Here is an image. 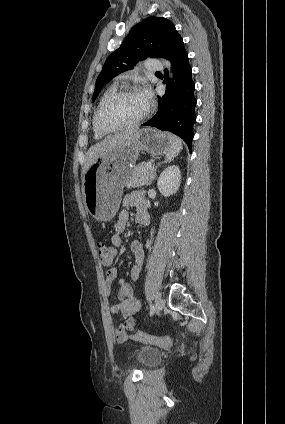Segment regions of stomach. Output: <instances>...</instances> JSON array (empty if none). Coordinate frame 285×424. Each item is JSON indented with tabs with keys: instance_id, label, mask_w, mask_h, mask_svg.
I'll return each instance as SVG.
<instances>
[{
	"instance_id": "0dacf381",
	"label": "stomach",
	"mask_w": 285,
	"mask_h": 424,
	"mask_svg": "<svg viewBox=\"0 0 285 424\" xmlns=\"http://www.w3.org/2000/svg\"><path fill=\"white\" fill-rule=\"evenodd\" d=\"M173 138L170 133L144 128L125 144L100 156L82 180L89 214L98 221H110L118 211L123 188L131 177L139 152L146 151L152 155L168 153Z\"/></svg>"
}]
</instances>
